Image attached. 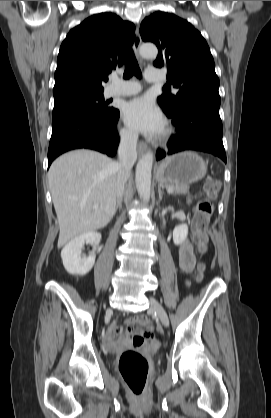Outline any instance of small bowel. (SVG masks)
I'll use <instances>...</instances> for the list:
<instances>
[{
    "mask_svg": "<svg viewBox=\"0 0 271 418\" xmlns=\"http://www.w3.org/2000/svg\"><path fill=\"white\" fill-rule=\"evenodd\" d=\"M179 265L182 271L188 273L191 272L195 265V256L193 247L188 240H184L179 247ZM140 323L139 316L132 317L125 321L124 334L123 329L118 327L116 324H111L104 336V343L108 350L116 351L120 347L128 344H132L135 347L143 345V336L138 333L131 338L132 326ZM119 337L118 339H116ZM153 345H157V342L152 340Z\"/></svg>",
    "mask_w": 271,
    "mask_h": 418,
    "instance_id": "obj_1",
    "label": "small bowel"
}]
</instances>
